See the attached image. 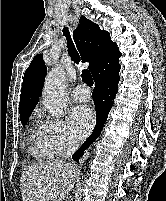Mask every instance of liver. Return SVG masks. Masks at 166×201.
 I'll return each instance as SVG.
<instances>
[{"label": "liver", "mask_w": 166, "mask_h": 201, "mask_svg": "<svg viewBox=\"0 0 166 201\" xmlns=\"http://www.w3.org/2000/svg\"><path fill=\"white\" fill-rule=\"evenodd\" d=\"M77 171L62 160L43 161L26 167L20 178L23 201H57L73 188Z\"/></svg>", "instance_id": "liver-1"}]
</instances>
